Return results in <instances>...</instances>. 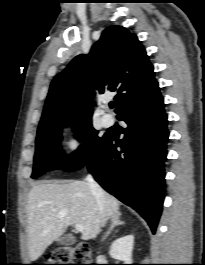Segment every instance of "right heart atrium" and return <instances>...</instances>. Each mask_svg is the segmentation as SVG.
<instances>
[{"label":"right heart atrium","mask_w":205,"mask_h":265,"mask_svg":"<svg viewBox=\"0 0 205 265\" xmlns=\"http://www.w3.org/2000/svg\"><path fill=\"white\" fill-rule=\"evenodd\" d=\"M81 146L82 138L79 135H72L66 142V148L70 154L77 153Z\"/></svg>","instance_id":"d8ad5b80"}]
</instances>
